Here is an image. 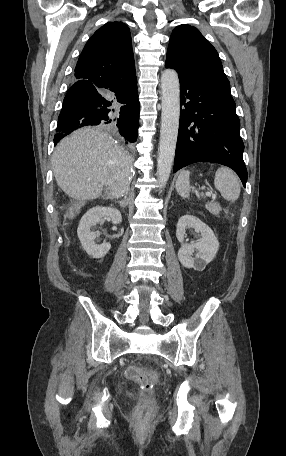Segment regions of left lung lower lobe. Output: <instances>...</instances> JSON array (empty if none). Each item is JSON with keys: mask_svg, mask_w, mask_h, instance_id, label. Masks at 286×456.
Segmentation results:
<instances>
[{"mask_svg": "<svg viewBox=\"0 0 286 456\" xmlns=\"http://www.w3.org/2000/svg\"><path fill=\"white\" fill-rule=\"evenodd\" d=\"M179 80L182 109L174 172L195 162L219 163L232 168L245 187L244 144L233 98L188 76L179 74Z\"/></svg>", "mask_w": 286, "mask_h": 456, "instance_id": "1", "label": "left lung lower lobe"}]
</instances>
